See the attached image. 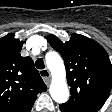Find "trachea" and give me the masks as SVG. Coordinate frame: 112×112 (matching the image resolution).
Listing matches in <instances>:
<instances>
[{"mask_svg":"<svg viewBox=\"0 0 112 112\" xmlns=\"http://www.w3.org/2000/svg\"><path fill=\"white\" fill-rule=\"evenodd\" d=\"M36 67L38 68V69H44L45 68V65H44V61H43V59L42 58H38L37 60H36Z\"/></svg>","mask_w":112,"mask_h":112,"instance_id":"3493384b","label":"trachea"}]
</instances>
